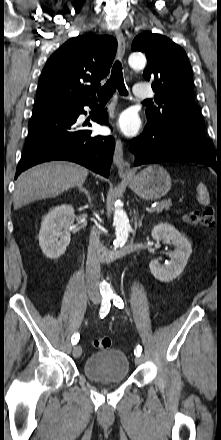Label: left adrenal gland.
I'll list each match as a JSON object with an SVG mask.
<instances>
[{
  "label": "left adrenal gland",
  "instance_id": "1",
  "mask_svg": "<svg viewBox=\"0 0 221 440\" xmlns=\"http://www.w3.org/2000/svg\"><path fill=\"white\" fill-rule=\"evenodd\" d=\"M137 214H138V212L135 211L134 212V221H135V224H137L138 227L140 228L142 226L143 216L139 220H137Z\"/></svg>",
  "mask_w": 221,
  "mask_h": 440
}]
</instances>
